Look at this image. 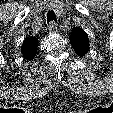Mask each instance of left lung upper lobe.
<instances>
[{"label":"left lung upper lobe","instance_id":"5c2ea615","mask_svg":"<svg viewBox=\"0 0 113 113\" xmlns=\"http://www.w3.org/2000/svg\"><path fill=\"white\" fill-rule=\"evenodd\" d=\"M70 42L74 51L80 56H84L89 50L88 34L77 27L73 28L70 35Z\"/></svg>","mask_w":113,"mask_h":113}]
</instances>
